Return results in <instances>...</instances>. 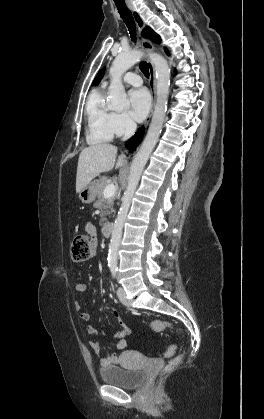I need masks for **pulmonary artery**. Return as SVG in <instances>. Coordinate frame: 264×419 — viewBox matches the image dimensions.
Returning <instances> with one entry per match:
<instances>
[{
	"label": "pulmonary artery",
	"mask_w": 264,
	"mask_h": 419,
	"mask_svg": "<svg viewBox=\"0 0 264 419\" xmlns=\"http://www.w3.org/2000/svg\"><path fill=\"white\" fill-rule=\"evenodd\" d=\"M123 81L127 84L133 85V86H140L142 84V79L139 75L132 73V72H127L124 76H123Z\"/></svg>",
	"instance_id": "e3ab8cb5"
}]
</instances>
